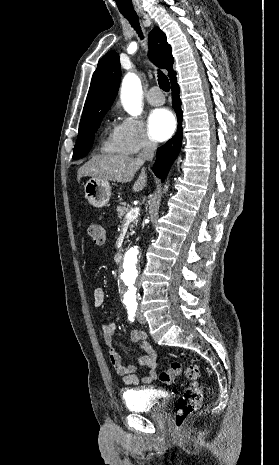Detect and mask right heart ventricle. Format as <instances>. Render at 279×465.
Wrapping results in <instances>:
<instances>
[{"instance_id":"obj_1","label":"right heart ventricle","mask_w":279,"mask_h":465,"mask_svg":"<svg viewBox=\"0 0 279 465\" xmlns=\"http://www.w3.org/2000/svg\"><path fill=\"white\" fill-rule=\"evenodd\" d=\"M102 152L114 154H128L122 144L118 141L115 129L109 131L101 145Z\"/></svg>"}]
</instances>
